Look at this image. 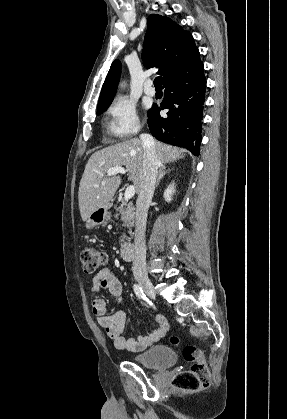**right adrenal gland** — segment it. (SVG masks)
I'll use <instances>...</instances> for the list:
<instances>
[{
	"label": "right adrenal gland",
	"mask_w": 287,
	"mask_h": 419,
	"mask_svg": "<svg viewBox=\"0 0 287 419\" xmlns=\"http://www.w3.org/2000/svg\"><path fill=\"white\" fill-rule=\"evenodd\" d=\"M169 172H170V169L166 170L165 165L160 166L157 181H156V185H155L156 187H158L160 180Z\"/></svg>",
	"instance_id": "1"
}]
</instances>
